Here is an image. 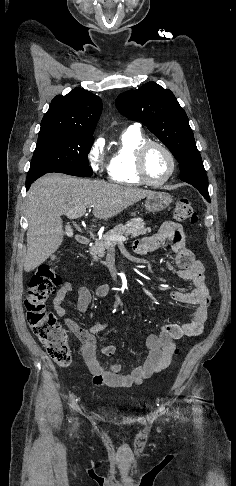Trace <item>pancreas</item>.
<instances>
[{
    "label": "pancreas",
    "mask_w": 236,
    "mask_h": 486,
    "mask_svg": "<svg viewBox=\"0 0 236 486\" xmlns=\"http://www.w3.org/2000/svg\"><path fill=\"white\" fill-rule=\"evenodd\" d=\"M149 232H151V228H146L145 223L142 220L131 219L125 225L118 224L104 234L103 237L91 247L90 254L93 256L94 260H97L98 257H104L106 250L117 244V242L110 240L112 236L131 235V237H138L140 235H146Z\"/></svg>",
    "instance_id": "cf45deb5"
}]
</instances>
